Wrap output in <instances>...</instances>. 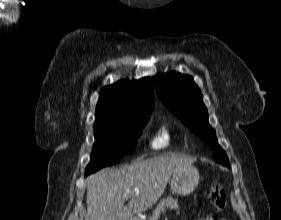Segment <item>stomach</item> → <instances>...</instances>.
<instances>
[{"label":"stomach","instance_id":"0dacf381","mask_svg":"<svg viewBox=\"0 0 281 220\" xmlns=\"http://www.w3.org/2000/svg\"><path fill=\"white\" fill-rule=\"evenodd\" d=\"M199 172L195 167L178 170L172 174L171 189L179 195L192 193L199 183Z\"/></svg>","mask_w":281,"mask_h":220}]
</instances>
